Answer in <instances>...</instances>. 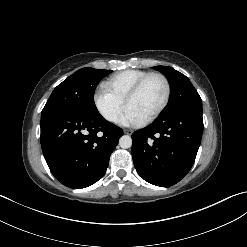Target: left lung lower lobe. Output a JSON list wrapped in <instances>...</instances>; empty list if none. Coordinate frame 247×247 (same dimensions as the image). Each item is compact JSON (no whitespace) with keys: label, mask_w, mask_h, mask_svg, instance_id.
I'll list each match as a JSON object with an SVG mask.
<instances>
[{"label":"left lung lower lobe","mask_w":247,"mask_h":247,"mask_svg":"<svg viewBox=\"0 0 247 247\" xmlns=\"http://www.w3.org/2000/svg\"><path fill=\"white\" fill-rule=\"evenodd\" d=\"M203 132L202 106L162 114L132 135V156L138 174L147 182L169 187L194 164Z\"/></svg>","instance_id":"1"}]
</instances>
